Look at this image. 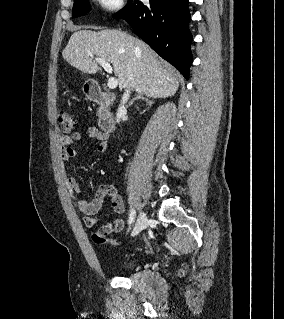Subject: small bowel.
<instances>
[{"label":"small bowel","mask_w":284,"mask_h":319,"mask_svg":"<svg viewBox=\"0 0 284 319\" xmlns=\"http://www.w3.org/2000/svg\"><path fill=\"white\" fill-rule=\"evenodd\" d=\"M83 134L75 132L72 135H64L60 138L62 147V159L68 163L78 155V151L72 147V144L81 140ZM87 136L97 141L95 150L104 153L107 148V135L100 131L97 127H90L87 130ZM67 186L70 192L79 196L81 193L78 182L73 178L67 179ZM109 197L111 206L115 215H121L124 212V202L115 186L105 184L98 187L94 197L91 200L79 197L77 199V207L83 214V221L86 227L92 228L99 223L97 214L101 210L105 199ZM124 227L123 219L117 217L112 222L103 224L95 233L101 237H107L111 233L120 232Z\"/></svg>","instance_id":"c3829d8e"}]
</instances>
